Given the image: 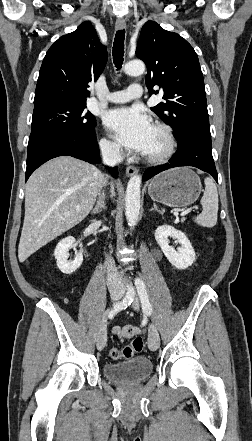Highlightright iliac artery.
<instances>
[{"instance_id": "1", "label": "right iliac artery", "mask_w": 252, "mask_h": 441, "mask_svg": "<svg viewBox=\"0 0 252 441\" xmlns=\"http://www.w3.org/2000/svg\"><path fill=\"white\" fill-rule=\"evenodd\" d=\"M134 295H135L134 290L128 286V291L126 293L125 298L121 302L116 303V304H123L124 309H125V308H127V306H129L132 303Z\"/></svg>"}]
</instances>
